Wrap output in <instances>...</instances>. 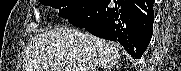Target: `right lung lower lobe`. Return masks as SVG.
I'll return each mask as SVG.
<instances>
[{
  "instance_id": "98d812e1",
  "label": "right lung lower lobe",
  "mask_w": 181,
  "mask_h": 71,
  "mask_svg": "<svg viewBox=\"0 0 181 71\" xmlns=\"http://www.w3.org/2000/svg\"><path fill=\"white\" fill-rule=\"evenodd\" d=\"M110 2L98 0L68 22L97 37L118 41L134 59H140L153 33L155 0H114L113 7Z\"/></svg>"
}]
</instances>
